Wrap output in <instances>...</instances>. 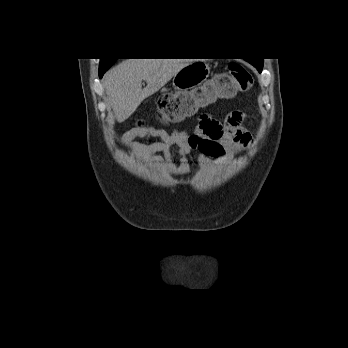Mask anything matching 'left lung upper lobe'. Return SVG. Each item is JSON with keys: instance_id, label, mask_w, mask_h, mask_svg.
<instances>
[{"instance_id": "1", "label": "left lung upper lobe", "mask_w": 348, "mask_h": 348, "mask_svg": "<svg viewBox=\"0 0 348 348\" xmlns=\"http://www.w3.org/2000/svg\"><path fill=\"white\" fill-rule=\"evenodd\" d=\"M251 64H253L259 72L262 71V67H263V60H253V61H249Z\"/></svg>"}]
</instances>
